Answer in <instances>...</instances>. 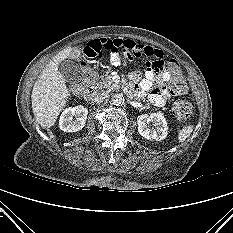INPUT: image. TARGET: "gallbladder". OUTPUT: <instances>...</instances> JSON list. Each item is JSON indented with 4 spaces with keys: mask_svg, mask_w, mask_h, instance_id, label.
Segmentation results:
<instances>
[{
    "mask_svg": "<svg viewBox=\"0 0 233 233\" xmlns=\"http://www.w3.org/2000/svg\"><path fill=\"white\" fill-rule=\"evenodd\" d=\"M58 71L68 82H78L81 80V67L70 59L61 61L58 65Z\"/></svg>",
    "mask_w": 233,
    "mask_h": 233,
    "instance_id": "1",
    "label": "gallbladder"
}]
</instances>
